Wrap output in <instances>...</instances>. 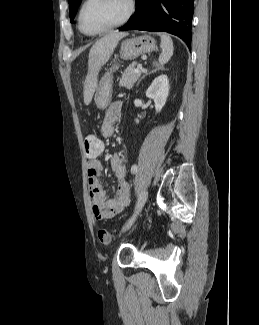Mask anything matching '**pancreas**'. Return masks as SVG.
<instances>
[{"mask_svg": "<svg viewBox=\"0 0 259 325\" xmlns=\"http://www.w3.org/2000/svg\"><path fill=\"white\" fill-rule=\"evenodd\" d=\"M134 70L135 67L133 65H130L125 69V71L122 73V77L119 82L120 87L131 89L134 86L136 81L141 76V73H135Z\"/></svg>", "mask_w": 259, "mask_h": 325, "instance_id": "cf45deb5", "label": "pancreas"}]
</instances>
